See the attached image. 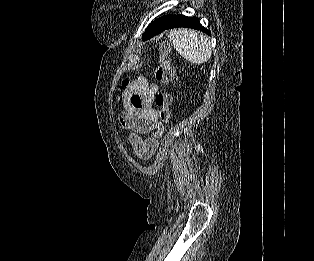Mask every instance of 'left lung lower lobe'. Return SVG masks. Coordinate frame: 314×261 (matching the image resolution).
Instances as JSON below:
<instances>
[{
	"mask_svg": "<svg viewBox=\"0 0 314 261\" xmlns=\"http://www.w3.org/2000/svg\"><path fill=\"white\" fill-rule=\"evenodd\" d=\"M178 27H188L192 29H197L210 35V31L204 28L199 23V19L197 17H187L181 14L174 15L172 19L167 24H165L155 35L163 32L166 29H172V28H178Z\"/></svg>",
	"mask_w": 314,
	"mask_h": 261,
	"instance_id": "1",
	"label": "left lung lower lobe"
}]
</instances>
